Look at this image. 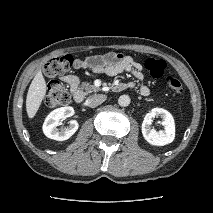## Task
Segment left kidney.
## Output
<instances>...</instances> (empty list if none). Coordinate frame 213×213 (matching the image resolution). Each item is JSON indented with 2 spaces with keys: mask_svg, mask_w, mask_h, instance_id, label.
<instances>
[{
  "mask_svg": "<svg viewBox=\"0 0 213 213\" xmlns=\"http://www.w3.org/2000/svg\"><path fill=\"white\" fill-rule=\"evenodd\" d=\"M156 116L161 117V124L164 126V130L156 131L154 128H151L152 119ZM141 130L144 139L155 146H164L171 143L175 138V123L173 116L163 108H153L146 114Z\"/></svg>",
  "mask_w": 213,
  "mask_h": 213,
  "instance_id": "left-kidney-1",
  "label": "left kidney"
}]
</instances>
